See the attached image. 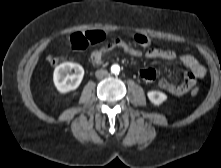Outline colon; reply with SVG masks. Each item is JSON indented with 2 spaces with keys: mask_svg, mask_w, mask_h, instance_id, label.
I'll use <instances>...</instances> for the list:
<instances>
[{
  "mask_svg": "<svg viewBox=\"0 0 221 168\" xmlns=\"http://www.w3.org/2000/svg\"><path fill=\"white\" fill-rule=\"evenodd\" d=\"M105 38V35L101 31H89V32H78L71 36L70 44L71 47L75 50H84L90 45H95L102 42ZM135 42L140 46H148L150 40L146 35L136 34L134 36ZM47 61L50 65H57L60 62V58L54 55H49ZM199 93V89L194 87L191 90L193 96Z\"/></svg>",
  "mask_w": 221,
  "mask_h": 168,
  "instance_id": "colon-1",
  "label": "colon"
}]
</instances>
